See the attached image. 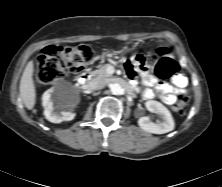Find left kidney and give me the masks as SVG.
<instances>
[{"instance_id": "obj_1", "label": "left kidney", "mask_w": 222, "mask_h": 187, "mask_svg": "<svg viewBox=\"0 0 222 187\" xmlns=\"http://www.w3.org/2000/svg\"><path fill=\"white\" fill-rule=\"evenodd\" d=\"M148 111L159 115V120L152 122L149 117L139 118L138 125L146 132L164 134L174 129V120L170 111L158 101L150 100L145 103Z\"/></svg>"}]
</instances>
